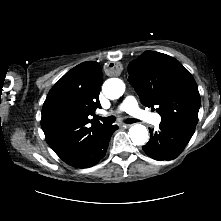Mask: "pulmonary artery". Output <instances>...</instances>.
Listing matches in <instances>:
<instances>
[{
    "instance_id": "1",
    "label": "pulmonary artery",
    "mask_w": 221,
    "mask_h": 221,
    "mask_svg": "<svg viewBox=\"0 0 221 221\" xmlns=\"http://www.w3.org/2000/svg\"><path fill=\"white\" fill-rule=\"evenodd\" d=\"M119 110L125 111L146 123L158 125L161 122L160 115L150 113L139 108L138 103L133 96H127L120 105Z\"/></svg>"
}]
</instances>
